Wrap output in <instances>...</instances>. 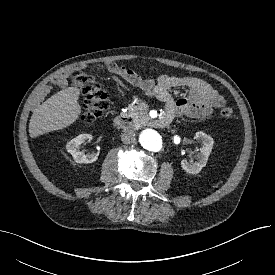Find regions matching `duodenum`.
Masks as SVG:
<instances>
[{"label": "duodenum", "mask_w": 275, "mask_h": 275, "mask_svg": "<svg viewBox=\"0 0 275 275\" xmlns=\"http://www.w3.org/2000/svg\"><path fill=\"white\" fill-rule=\"evenodd\" d=\"M172 118L168 115L161 116L152 121L154 127L163 128L171 122ZM129 123V119L124 115H117L114 118V125L118 129L125 128Z\"/></svg>", "instance_id": "1"}]
</instances>
